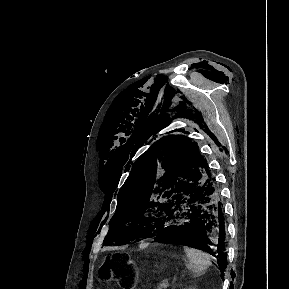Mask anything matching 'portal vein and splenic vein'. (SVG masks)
Here are the masks:
<instances>
[{
    "instance_id": "1",
    "label": "portal vein and splenic vein",
    "mask_w": 289,
    "mask_h": 289,
    "mask_svg": "<svg viewBox=\"0 0 289 289\" xmlns=\"http://www.w3.org/2000/svg\"><path fill=\"white\" fill-rule=\"evenodd\" d=\"M168 286H169L168 280H164L159 284V287H161L162 289H166Z\"/></svg>"
}]
</instances>
